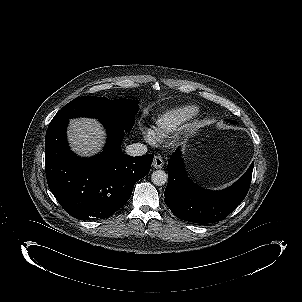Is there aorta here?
<instances>
[{
  "mask_svg": "<svg viewBox=\"0 0 302 302\" xmlns=\"http://www.w3.org/2000/svg\"><path fill=\"white\" fill-rule=\"evenodd\" d=\"M151 181L156 186H163L168 182V175L163 170H156L151 175Z\"/></svg>",
  "mask_w": 302,
  "mask_h": 302,
  "instance_id": "aorta-1",
  "label": "aorta"
}]
</instances>
